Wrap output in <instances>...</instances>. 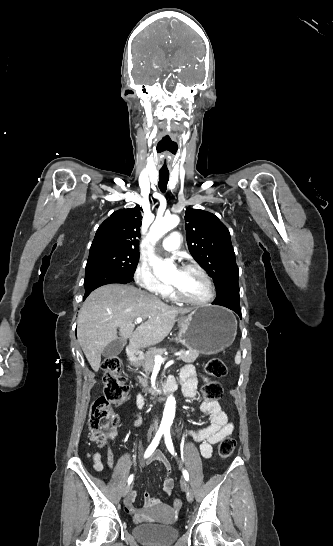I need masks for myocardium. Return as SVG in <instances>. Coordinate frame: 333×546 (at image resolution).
Instances as JSON below:
<instances>
[{"instance_id":"myocardium-1","label":"myocardium","mask_w":333,"mask_h":546,"mask_svg":"<svg viewBox=\"0 0 333 546\" xmlns=\"http://www.w3.org/2000/svg\"><path fill=\"white\" fill-rule=\"evenodd\" d=\"M183 270L197 271L206 281L209 288V295L202 300H193L184 296L174 285H172L173 296L184 303L195 305V306H203L212 302L216 296V288L209 274L200 265H197V264H186L183 267Z\"/></svg>"}]
</instances>
